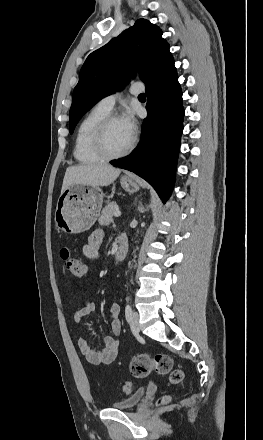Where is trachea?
I'll return each mask as SVG.
<instances>
[{"instance_id": "trachea-1", "label": "trachea", "mask_w": 263, "mask_h": 440, "mask_svg": "<svg viewBox=\"0 0 263 440\" xmlns=\"http://www.w3.org/2000/svg\"><path fill=\"white\" fill-rule=\"evenodd\" d=\"M138 97H146V95L144 93H142Z\"/></svg>"}]
</instances>
